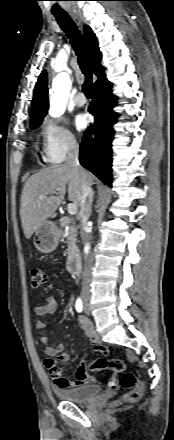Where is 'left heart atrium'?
<instances>
[{
	"instance_id": "obj_1",
	"label": "left heart atrium",
	"mask_w": 174,
	"mask_h": 440,
	"mask_svg": "<svg viewBox=\"0 0 174 440\" xmlns=\"http://www.w3.org/2000/svg\"><path fill=\"white\" fill-rule=\"evenodd\" d=\"M89 118L86 114L80 113L74 119V124L77 130L81 131L87 127Z\"/></svg>"
}]
</instances>
